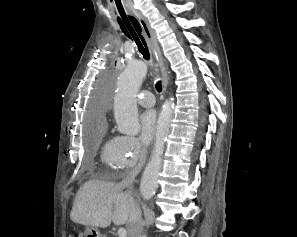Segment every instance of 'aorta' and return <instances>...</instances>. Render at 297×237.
<instances>
[{"label":"aorta","instance_id":"obj_1","mask_svg":"<svg viewBox=\"0 0 297 237\" xmlns=\"http://www.w3.org/2000/svg\"><path fill=\"white\" fill-rule=\"evenodd\" d=\"M147 64L132 60L119 75L114 97V116L119 133L137 135L140 132L136 96L147 74ZM174 111L173 99L166 101L158 118L156 142L151 158L143 172L140 192L144 200H150L158 188L159 173L166 137L169 134Z\"/></svg>","mask_w":297,"mask_h":237}]
</instances>
